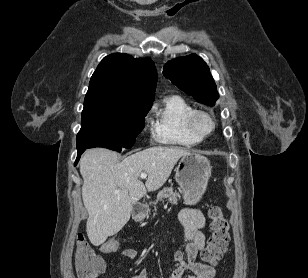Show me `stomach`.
<instances>
[{
	"mask_svg": "<svg viewBox=\"0 0 308 278\" xmlns=\"http://www.w3.org/2000/svg\"><path fill=\"white\" fill-rule=\"evenodd\" d=\"M175 171L185 204H196L204 194L211 176L209 160L200 154L190 153L182 156Z\"/></svg>",
	"mask_w": 308,
	"mask_h": 278,
	"instance_id": "obj_1",
	"label": "stomach"
}]
</instances>
